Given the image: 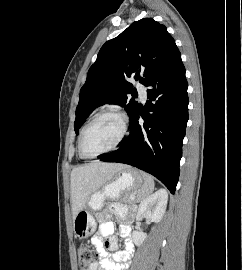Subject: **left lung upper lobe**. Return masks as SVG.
I'll return each instance as SVG.
<instances>
[{"instance_id":"obj_1","label":"left lung upper lobe","mask_w":242,"mask_h":270,"mask_svg":"<svg viewBox=\"0 0 242 270\" xmlns=\"http://www.w3.org/2000/svg\"><path fill=\"white\" fill-rule=\"evenodd\" d=\"M179 56L180 52L166 27L152 18L132 23L119 36L107 41L80 90L75 132L78 133L95 108L105 103L124 107L131 120L138 110V103L134 99L128 101L127 95H133L135 90L128 78L132 76L146 85Z\"/></svg>"}]
</instances>
